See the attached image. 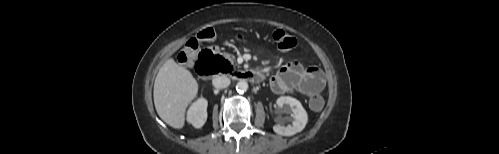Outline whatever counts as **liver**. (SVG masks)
I'll use <instances>...</instances> for the list:
<instances>
[{
    "mask_svg": "<svg viewBox=\"0 0 499 154\" xmlns=\"http://www.w3.org/2000/svg\"><path fill=\"white\" fill-rule=\"evenodd\" d=\"M197 93L198 83L192 73L172 58L166 60L159 69L153 90L159 117L175 129L183 128L186 108Z\"/></svg>",
    "mask_w": 499,
    "mask_h": 154,
    "instance_id": "obj_1",
    "label": "liver"
}]
</instances>
